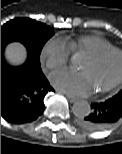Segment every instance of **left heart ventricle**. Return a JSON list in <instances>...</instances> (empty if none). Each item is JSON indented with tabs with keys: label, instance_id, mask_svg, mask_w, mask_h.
<instances>
[{
	"label": "left heart ventricle",
	"instance_id": "left-heart-ventricle-1",
	"mask_svg": "<svg viewBox=\"0 0 122 154\" xmlns=\"http://www.w3.org/2000/svg\"><path fill=\"white\" fill-rule=\"evenodd\" d=\"M121 66V57L113 54L101 62L86 57L80 70L88 74L93 88L98 90L108 86L118 77Z\"/></svg>",
	"mask_w": 122,
	"mask_h": 154
}]
</instances>
